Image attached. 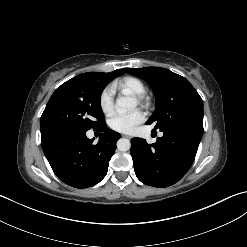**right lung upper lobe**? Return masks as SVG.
Wrapping results in <instances>:
<instances>
[{"label": "right lung upper lobe", "instance_id": "obj_1", "mask_svg": "<svg viewBox=\"0 0 247 247\" xmlns=\"http://www.w3.org/2000/svg\"><path fill=\"white\" fill-rule=\"evenodd\" d=\"M93 73L99 76L102 80L109 83L114 78L118 77L119 75L124 74V69L122 70L118 69L110 73H99V72H93Z\"/></svg>", "mask_w": 247, "mask_h": 247}]
</instances>
